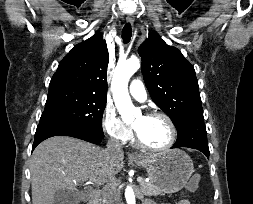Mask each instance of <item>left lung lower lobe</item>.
Wrapping results in <instances>:
<instances>
[{
    "label": "left lung lower lobe",
    "mask_w": 253,
    "mask_h": 204,
    "mask_svg": "<svg viewBox=\"0 0 253 204\" xmlns=\"http://www.w3.org/2000/svg\"><path fill=\"white\" fill-rule=\"evenodd\" d=\"M178 138L172 148L188 147L203 152L209 158L207 132L203 113L189 117L184 125L177 130Z\"/></svg>",
    "instance_id": "obj_1"
}]
</instances>
